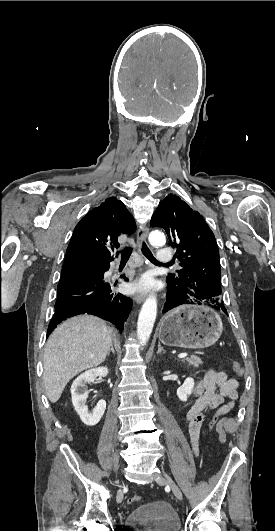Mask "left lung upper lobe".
<instances>
[{"label":"left lung upper lobe","mask_w":275,"mask_h":531,"mask_svg":"<svg viewBox=\"0 0 275 531\" xmlns=\"http://www.w3.org/2000/svg\"><path fill=\"white\" fill-rule=\"evenodd\" d=\"M150 225L164 228L182 267L177 274L167 277L171 301L207 305L224 311L220 301L219 250L205 219L177 195L169 194L159 203Z\"/></svg>","instance_id":"left-lung-upper-lobe-1"}]
</instances>
